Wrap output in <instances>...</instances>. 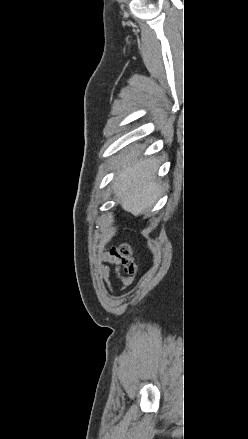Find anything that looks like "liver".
Instances as JSON below:
<instances>
[{
	"label": "liver",
	"mask_w": 248,
	"mask_h": 439,
	"mask_svg": "<svg viewBox=\"0 0 248 439\" xmlns=\"http://www.w3.org/2000/svg\"><path fill=\"white\" fill-rule=\"evenodd\" d=\"M140 153L135 146L117 158L118 173L113 181L114 198L126 211L137 216L149 210L162 193L156 179L157 160L139 158Z\"/></svg>",
	"instance_id": "1"
}]
</instances>
